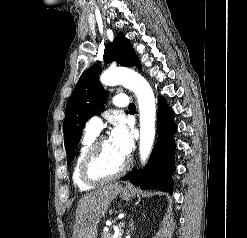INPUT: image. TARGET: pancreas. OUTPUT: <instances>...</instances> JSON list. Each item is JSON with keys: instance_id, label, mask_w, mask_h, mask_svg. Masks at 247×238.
Listing matches in <instances>:
<instances>
[{"instance_id": "obj_1", "label": "pancreas", "mask_w": 247, "mask_h": 238, "mask_svg": "<svg viewBox=\"0 0 247 238\" xmlns=\"http://www.w3.org/2000/svg\"><path fill=\"white\" fill-rule=\"evenodd\" d=\"M123 226L119 227L118 225V229H119V232H118V236L116 238H122V235H123ZM102 238H113V234L110 233V232H103L102 234Z\"/></svg>"}]
</instances>
